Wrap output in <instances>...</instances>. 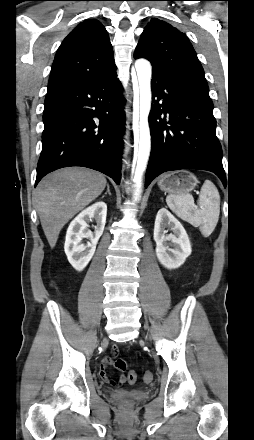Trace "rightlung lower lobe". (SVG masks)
Returning a JSON list of instances; mask_svg holds the SVG:
<instances>
[{
  "instance_id": "right-lung-lower-lobe-1",
  "label": "right lung lower lobe",
  "mask_w": 254,
  "mask_h": 440,
  "mask_svg": "<svg viewBox=\"0 0 254 440\" xmlns=\"http://www.w3.org/2000/svg\"><path fill=\"white\" fill-rule=\"evenodd\" d=\"M116 73L47 92L35 186L48 173L83 166L121 177L124 97Z\"/></svg>"
}]
</instances>
